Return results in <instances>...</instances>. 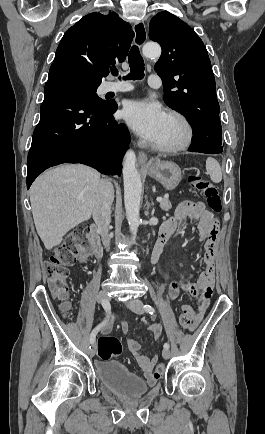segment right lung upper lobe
I'll list each match as a JSON object with an SVG mask.
<instances>
[{"label":"right lung upper lobe","instance_id":"cb5924a9","mask_svg":"<svg viewBox=\"0 0 265 434\" xmlns=\"http://www.w3.org/2000/svg\"><path fill=\"white\" fill-rule=\"evenodd\" d=\"M134 32L113 11L93 12L70 27L56 50L49 76L68 74L102 82L127 56Z\"/></svg>","mask_w":265,"mask_h":434}]
</instances>
